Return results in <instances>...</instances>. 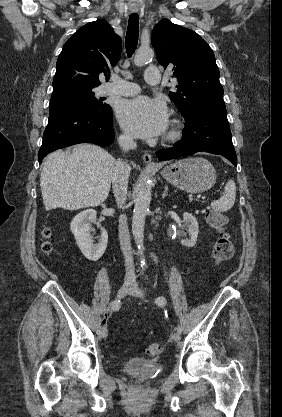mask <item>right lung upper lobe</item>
I'll list each match as a JSON object with an SVG mask.
<instances>
[{"instance_id":"1","label":"right lung upper lobe","mask_w":282,"mask_h":417,"mask_svg":"<svg viewBox=\"0 0 282 417\" xmlns=\"http://www.w3.org/2000/svg\"><path fill=\"white\" fill-rule=\"evenodd\" d=\"M121 44V38L105 20L81 27L58 57L53 93L99 86V74L107 73L119 60Z\"/></svg>"}]
</instances>
